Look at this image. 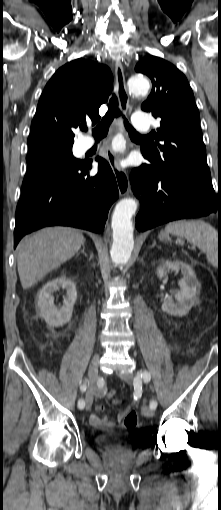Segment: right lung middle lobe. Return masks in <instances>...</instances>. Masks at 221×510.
Instances as JSON below:
<instances>
[{
	"instance_id": "right-lung-middle-lobe-1",
	"label": "right lung middle lobe",
	"mask_w": 221,
	"mask_h": 510,
	"mask_svg": "<svg viewBox=\"0 0 221 510\" xmlns=\"http://www.w3.org/2000/svg\"><path fill=\"white\" fill-rule=\"evenodd\" d=\"M27 173L22 189L29 183L48 177L71 175L82 163L72 155V147L46 146L28 152Z\"/></svg>"
}]
</instances>
